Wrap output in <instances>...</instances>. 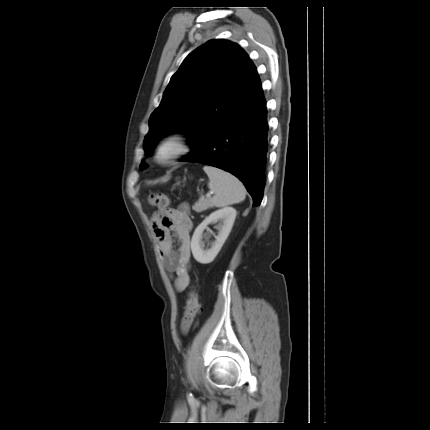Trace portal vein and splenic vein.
Wrapping results in <instances>:
<instances>
[{
  "label": "portal vein and splenic vein",
  "mask_w": 430,
  "mask_h": 430,
  "mask_svg": "<svg viewBox=\"0 0 430 430\" xmlns=\"http://www.w3.org/2000/svg\"><path fill=\"white\" fill-rule=\"evenodd\" d=\"M212 194H213L212 192H209V193L206 194V197L210 198Z\"/></svg>",
  "instance_id": "portal-vein-and-splenic-vein-1"
}]
</instances>
